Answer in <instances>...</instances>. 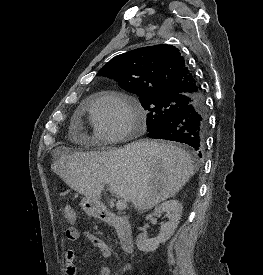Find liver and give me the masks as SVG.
Returning a JSON list of instances; mask_svg holds the SVG:
<instances>
[{"mask_svg":"<svg viewBox=\"0 0 263 275\" xmlns=\"http://www.w3.org/2000/svg\"><path fill=\"white\" fill-rule=\"evenodd\" d=\"M52 170L72 189L99 200L108 184L139 211L175 196L195 173L189 153L163 141L139 140L108 152L65 151Z\"/></svg>","mask_w":263,"mask_h":275,"instance_id":"obj_1","label":"liver"}]
</instances>
